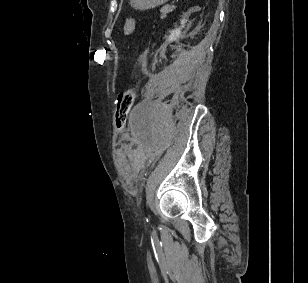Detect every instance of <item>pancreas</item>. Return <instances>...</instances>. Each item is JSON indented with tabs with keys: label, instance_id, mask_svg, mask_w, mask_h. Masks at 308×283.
Masks as SVG:
<instances>
[{
	"label": "pancreas",
	"instance_id": "1",
	"mask_svg": "<svg viewBox=\"0 0 308 283\" xmlns=\"http://www.w3.org/2000/svg\"><path fill=\"white\" fill-rule=\"evenodd\" d=\"M170 8L169 7H164L162 10H161V18L164 19L166 18L167 14L170 12Z\"/></svg>",
	"mask_w": 308,
	"mask_h": 283
}]
</instances>
